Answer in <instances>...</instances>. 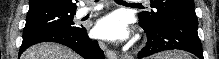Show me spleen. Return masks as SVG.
<instances>
[{
    "label": "spleen",
    "instance_id": "3e777b00",
    "mask_svg": "<svg viewBox=\"0 0 219 59\" xmlns=\"http://www.w3.org/2000/svg\"><path fill=\"white\" fill-rule=\"evenodd\" d=\"M166 58H169V59H182V58H187L189 59V57H187L186 55H176V54H170L168 55Z\"/></svg>",
    "mask_w": 219,
    "mask_h": 59
}]
</instances>
